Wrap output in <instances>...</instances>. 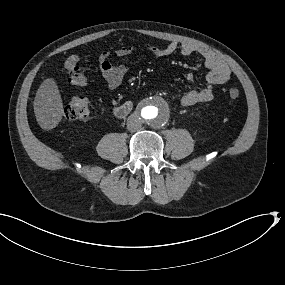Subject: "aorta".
Returning <instances> with one entry per match:
<instances>
[{
  "instance_id": "762f6f07",
  "label": "aorta",
  "mask_w": 285,
  "mask_h": 285,
  "mask_svg": "<svg viewBox=\"0 0 285 285\" xmlns=\"http://www.w3.org/2000/svg\"><path fill=\"white\" fill-rule=\"evenodd\" d=\"M140 114L146 123L151 125H158L167 119L169 114V107L163 98L158 96H151L142 102L140 107Z\"/></svg>"
}]
</instances>
